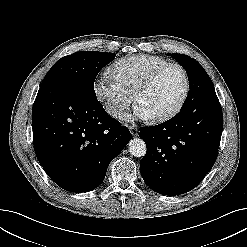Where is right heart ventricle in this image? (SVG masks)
I'll return each instance as SVG.
<instances>
[{"label": "right heart ventricle", "instance_id": "obj_1", "mask_svg": "<svg viewBox=\"0 0 247 247\" xmlns=\"http://www.w3.org/2000/svg\"><path fill=\"white\" fill-rule=\"evenodd\" d=\"M168 63L166 59L158 56L134 55L118 60L109 71L124 90L132 95L151 72Z\"/></svg>", "mask_w": 247, "mask_h": 247}]
</instances>
